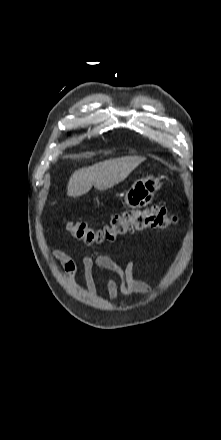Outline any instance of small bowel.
Returning <instances> with one entry per match:
<instances>
[{
    "mask_svg": "<svg viewBox=\"0 0 221 440\" xmlns=\"http://www.w3.org/2000/svg\"><path fill=\"white\" fill-rule=\"evenodd\" d=\"M52 255L59 261L66 275L71 280H74V277L78 270V265L74 261V259L61 250H53ZM81 264L84 272L85 285L91 295H94L97 291L95 274L97 269L118 275L121 279L120 283H118L116 279L111 275H108L106 277V288L109 301L115 300L119 292L125 294L134 292L147 294L151 292V287L148 283L137 280L133 277V262H130L127 267L123 268L111 257L100 253H94L89 256L83 257Z\"/></svg>",
    "mask_w": 221,
    "mask_h": 440,
    "instance_id": "1",
    "label": "small bowel"
}]
</instances>
